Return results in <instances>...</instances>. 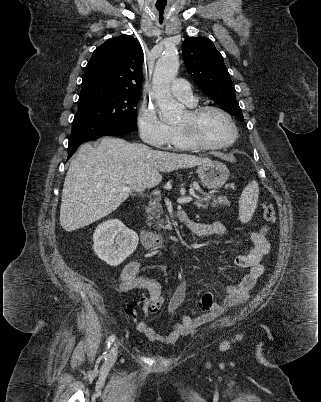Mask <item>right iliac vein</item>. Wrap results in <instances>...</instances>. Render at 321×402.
I'll return each mask as SVG.
<instances>
[{
	"label": "right iliac vein",
	"instance_id": "obj_1",
	"mask_svg": "<svg viewBox=\"0 0 321 402\" xmlns=\"http://www.w3.org/2000/svg\"><path fill=\"white\" fill-rule=\"evenodd\" d=\"M118 347H119L118 343H114L113 346L111 347V350L108 355V361L110 363H112L116 360L117 355H118Z\"/></svg>",
	"mask_w": 321,
	"mask_h": 402
}]
</instances>
